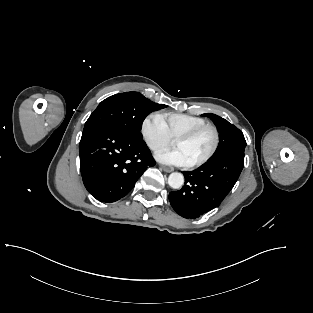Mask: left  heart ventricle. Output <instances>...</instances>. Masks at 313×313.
<instances>
[{"label":"left heart ventricle","instance_id":"1","mask_svg":"<svg viewBox=\"0 0 313 313\" xmlns=\"http://www.w3.org/2000/svg\"><path fill=\"white\" fill-rule=\"evenodd\" d=\"M214 144V135L210 129L204 130L189 141L175 143V147L181 149L190 163L205 157Z\"/></svg>","mask_w":313,"mask_h":313}]
</instances>
